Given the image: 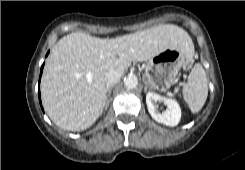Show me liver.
<instances>
[{"label":"liver","instance_id":"liver-1","mask_svg":"<svg viewBox=\"0 0 245 170\" xmlns=\"http://www.w3.org/2000/svg\"><path fill=\"white\" fill-rule=\"evenodd\" d=\"M167 49H181L189 59L194 46L182 28L164 24L113 39L84 32L61 38L48 57L41 80L45 111L60 128L82 131L102 114L107 100L105 74L125 71Z\"/></svg>","mask_w":245,"mask_h":170}]
</instances>
